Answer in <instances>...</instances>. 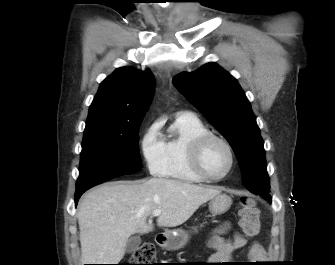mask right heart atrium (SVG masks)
Returning a JSON list of instances; mask_svg holds the SVG:
<instances>
[{
	"label": "right heart atrium",
	"mask_w": 335,
	"mask_h": 265,
	"mask_svg": "<svg viewBox=\"0 0 335 265\" xmlns=\"http://www.w3.org/2000/svg\"><path fill=\"white\" fill-rule=\"evenodd\" d=\"M141 151L151 174L161 176L166 166L164 140L158 123H153L141 140Z\"/></svg>",
	"instance_id": "d8ad5b80"
}]
</instances>
